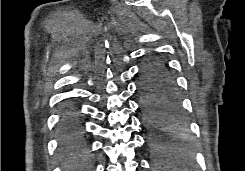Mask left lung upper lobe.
Masks as SVG:
<instances>
[{
	"label": "left lung upper lobe",
	"instance_id": "obj_1",
	"mask_svg": "<svg viewBox=\"0 0 245 171\" xmlns=\"http://www.w3.org/2000/svg\"><path fill=\"white\" fill-rule=\"evenodd\" d=\"M146 61H153V57L152 56L148 57Z\"/></svg>",
	"mask_w": 245,
	"mask_h": 171
}]
</instances>
